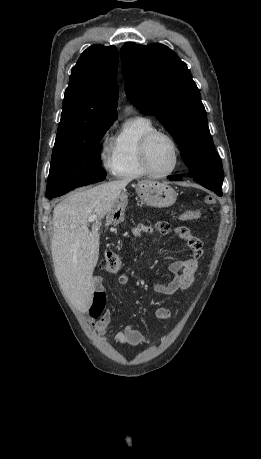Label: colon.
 <instances>
[{
  "label": "colon",
  "instance_id": "1",
  "mask_svg": "<svg viewBox=\"0 0 261 459\" xmlns=\"http://www.w3.org/2000/svg\"><path fill=\"white\" fill-rule=\"evenodd\" d=\"M214 204L215 198L211 195H207L204 197L201 207L185 210L180 217L184 220L197 219L203 213L210 211ZM156 229L161 233H166L169 231L170 226L166 222L158 221L156 223ZM100 267L107 273H117L122 267V261L117 254L108 253L102 260ZM104 306L105 296L102 294H95L89 308V315L93 318L99 317L103 313Z\"/></svg>",
  "mask_w": 261,
  "mask_h": 459
}]
</instances>
